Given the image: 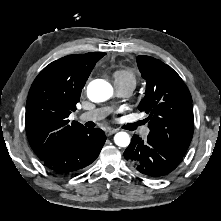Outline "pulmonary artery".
<instances>
[{"mask_svg":"<svg viewBox=\"0 0 221 221\" xmlns=\"http://www.w3.org/2000/svg\"><path fill=\"white\" fill-rule=\"evenodd\" d=\"M118 96L127 97L133 92V88L129 86H116ZM110 112V108H98L82 113L79 119L83 122H96L106 117Z\"/></svg>","mask_w":221,"mask_h":221,"instance_id":"1","label":"pulmonary artery"}]
</instances>
